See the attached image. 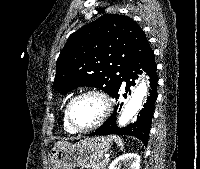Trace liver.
<instances>
[{"instance_id": "obj_1", "label": "liver", "mask_w": 200, "mask_h": 169, "mask_svg": "<svg viewBox=\"0 0 200 169\" xmlns=\"http://www.w3.org/2000/svg\"><path fill=\"white\" fill-rule=\"evenodd\" d=\"M65 145H68V142H66V141H59V142L55 143V146H54L53 149L58 148L60 146H65Z\"/></svg>"}]
</instances>
